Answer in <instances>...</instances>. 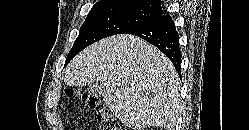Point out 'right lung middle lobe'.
<instances>
[{"label": "right lung middle lobe", "instance_id": "1", "mask_svg": "<svg viewBox=\"0 0 249 130\" xmlns=\"http://www.w3.org/2000/svg\"><path fill=\"white\" fill-rule=\"evenodd\" d=\"M158 17H160V14L156 12L133 6L94 5L80 28L79 36L68 54L65 65L90 44L111 35L126 33Z\"/></svg>", "mask_w": 249, "mask_h": 130}]
</instances>
